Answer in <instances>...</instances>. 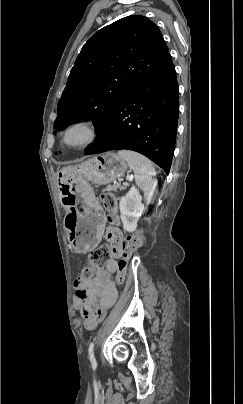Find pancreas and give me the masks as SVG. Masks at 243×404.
<instances>
[{
    "instance_id": "pancreas-1",
    "label": "pancreas",
    "mask_w": 243,
    "mask_h": 404,
    "mask_svg": "<svg viewBox=\"0 0 243 404\" xmlns=\"http://www.w3.org/2000/svg\"><path fill=\"white\" fill-rule=\"evenodd\" d=\"M117 190H125V188L121 184H115V186H106L103 192H117Z\"/></svg>"
}]
</instances>
